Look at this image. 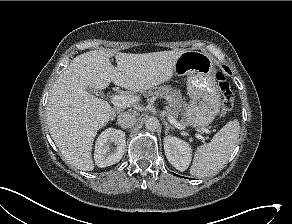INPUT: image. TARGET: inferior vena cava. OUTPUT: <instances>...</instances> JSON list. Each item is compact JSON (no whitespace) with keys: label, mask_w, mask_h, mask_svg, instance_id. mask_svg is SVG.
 <instances>
[{"label":"inferior vena cava","mask_w":292,"mask_h":224,"mask_svg":"<svg viewBox=\"0 0 292 224\" xmlns=\"http://www.w3.org/2000/svg\"><path fill=\"white\" fill-rule=\"evenodd\" d=\"M117 121L122 128H130L136 124L137 119L134 114L129 112H123L119 114V116L117 117Z\"/></svg>","instance_id":"1"}]
</instances>
